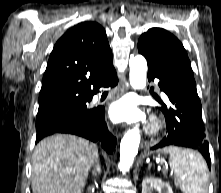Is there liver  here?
<instances>
[{"instance_id":"6515ba94","label":"liver","mask_w":221,"mask_h":193,"mask_svg":"<svg viewBox=\"0 0 221 193\" xmlns=\"http://www.w3.org/2000/svg\"><path fill=\"white\" fill-rule=\"evenodd\" d=\"M98 147L73 135H54L37 144L32 160L33 193H81Z\"/></svg>"}]
</instances>
